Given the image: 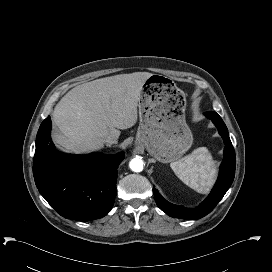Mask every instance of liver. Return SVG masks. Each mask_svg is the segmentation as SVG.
<instances>
[{"instance_id":"6515ba94","label":"liver","mask_w":272,"mask_h":272,"mask_svg":"<svg viewBox=\"0 0 272 272\" xmlns=\"http://www.w3.org/2000/svg\"><path fill=\"white\" fill-rule=\"evenodd\" d=\"M149 72H134L96 79L71 89L56 105L53 120L59 131L54 142L68 152L103 148L105 139L120 136L137 122V106Z\"/></svg>"}]
</instances>
